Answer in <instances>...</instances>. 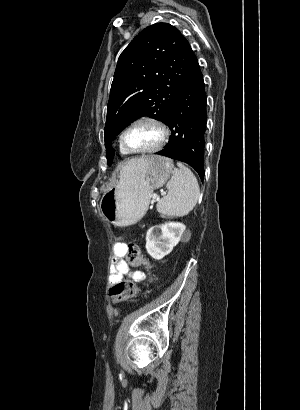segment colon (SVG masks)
<instances>
[{
	"label": "colon",
	"mask_w": 300,
	"mask_h": 410,
	"mask_svg": "<svg viewBox=\"0 0 300 410\" xmlns=\"http://www.w3.org/2000/svg\"><path fill=\"white\" fill-rule=\"evenodd\" d=\"M125 258L128 263L138 265L144 262L141 249L137 244L130 243L125 248ZM138 288L128 280L116 281L110 288L109 293L115 302H122L131 298Z\"/></svg>",
	"instance_id": "5ec220e1"
}]
</instances>
